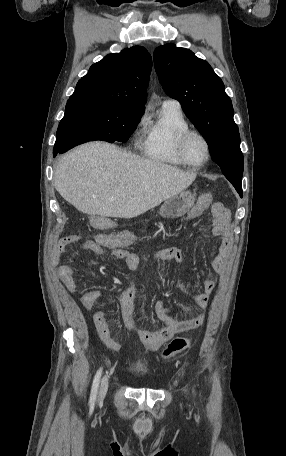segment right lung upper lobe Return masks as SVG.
Wrapping results in <instances>:
<instances>
[{
    "mask_svg": "<svg viewBox=\"0 0 286 456\" xmlns=\"http://www.w3.org/2000/svg\"><path fill=\"white\" fill-rule=\"evenodd\" d=\"M152 58L142 46L105 56L93 64L68 101L87 100L145 110Z\"/></svg>",
    "mask_w": 286,
    "mask_h": 456,
    "instance_id": "obj_1",
    "label": "right lung upper lobe"
}]
</instances>
